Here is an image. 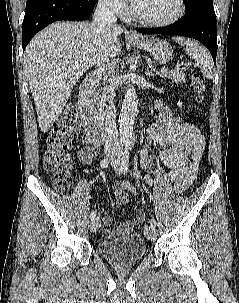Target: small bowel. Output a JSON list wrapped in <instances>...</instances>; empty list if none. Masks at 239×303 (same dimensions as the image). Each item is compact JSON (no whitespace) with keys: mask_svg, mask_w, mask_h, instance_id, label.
Here are the masks:
<instances>
[{"mask_svg":"<svg viewBox=\"0 0 239 303\" xmlns=\"http://www.w3.org/2000/svg\"><path fill=\"white\" fill-rule=\"evenodd\" d=\"M87 143L78 153L79 160L83 164H90L98 153V147L102 140L86 134ZM156 143L160 148V158L169 168V178L174 184L176 192L187 190L196 178L198 166L205 150L206 142L197 127L192 124L178 122L170 113H161L157 123L149 127L146 143L140 151L141 164L149 167L148 144ZM146 182L151 179L146 177ZM123 189H133L126 182H116L114 190L116 195ZM112 218L108 215L101 217V234L110 239L116 234H128L135 223L124 221L118 227L111 228Z\"/></svg>","mask_w":239,"mask_h":303,"instance_id":"obj_1","label":"small bowel"}]
</instances>
